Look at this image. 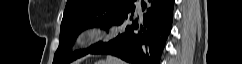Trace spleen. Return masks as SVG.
Wrapping results in <instances>:
<instances>
[{
  "label": "spleen",
  "instance_id": "obj_1",
  "mask_svg": "<svg viewBox=\"0 0 242 64\" xmlns=\"http://www.w3.org/2000/svg\"><path fill=\"white\" fill-rule=\"evenodd\" d=\"M107 64H125V63L115 57L107 56Z\"/></svg>",
  "mask_w": 242,
  "mask_h": 64
}]
</instances>
